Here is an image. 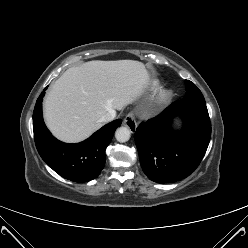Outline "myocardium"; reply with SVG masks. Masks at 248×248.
<instances>
[{
	"instance_id": "1",
	"label": "myocardium",
	"mask_w": 248,
	"mask_h": 248,
	"mask_svg": "<svg viewBox=\"0 0 248 248\" xmlns=\"http://www.w3.org/2000/svg\"><path fill=\"white\" fill-rule=\"evenodd\" d=\"M169 97H170V93L168 91L165 90L161 91L156 98V102H155L156 105H161L165 103L169 99Z\"/></svg>"
}]
</instances>
